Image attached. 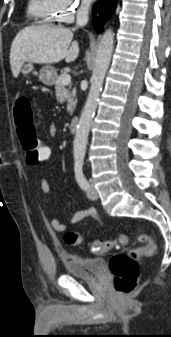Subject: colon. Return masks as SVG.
Listing matches in <instances>:
<instances>
[{
    "instance_id": "5ec220e1",
    "label": "colon",
    "mask_w": 171,
    "mask_h": 337,
    "mask_svg": "<svg viewBox=\"0 0 171 337\" xmlns=\"http://www.w3.org/2000/svg\"><path fill=\"white\" fill-rule=\"evenodd\" d=\"M14 113L17 134L25 153L26 162L34 165L40 161H49V156H53L52 145L47 144L45 137H38L30 102L26 97L17 99ZM64 240L72 246L84 243L83 236L73 231H67ZM138 240L143 243L142 246L136 247L128 253L115 254L110 260L109 266L113 275L114 289L120 296H128L136 288L140 276L138 257L142 254H152L156 250V243L147 234H140ZM128 243L129 235L120 233L114 239L92 241L90 249L95 254H103L117 245L126 246Z\"/></svg>"
}]
</instances>
